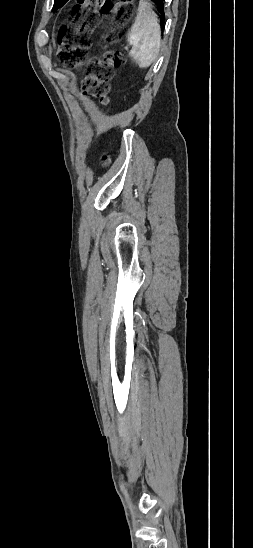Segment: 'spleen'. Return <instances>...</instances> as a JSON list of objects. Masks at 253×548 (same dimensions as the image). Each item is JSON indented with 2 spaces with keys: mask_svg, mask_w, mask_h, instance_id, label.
I'll list each match as a JSON object with an SVG mask.
<instances>
[{
  "mask_svg": "<svg viewBox=\"0 0 253 548\" xmlns=\"http://www.w3.org/2000/svg\"><path fill=\"white\" fill-rule=\"evenodd\" d=\"M128 42L132 46L130 55L140 68H148L156 60L160 50L161 29L156 13L144 0L139 2Z\"/></svg>",
  "mask_w": 253,
  "mask_h": 548,
  "instance_id": "1",
  "label": "spleen"
}]
</instances>
